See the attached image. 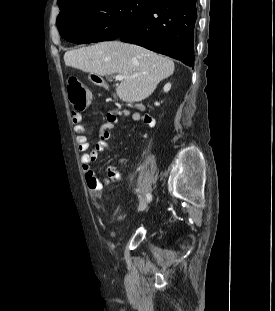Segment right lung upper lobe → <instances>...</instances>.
<instances>
[{
  "label": "right lung upper lobe",
  "instance_id": "1",
  "mask_svg": "<svg viewBox=\"0 0 275 311\" xmlns=\"http://www.w3.org/2000/svg\"><path fill=\"white\" fill-rule=\"evenodd\" d=\"M67 1H70V0H58V6H60L61 4L65 3Z\"/></svg>",
  "mask_w": 275,
  "mask_h": 311
}]
</instances>
